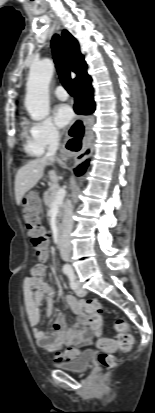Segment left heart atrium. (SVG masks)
<instances>
[{
	"mask_svg": "<svg viewBox=\"0 0 155 413\" xmlns=\"http://www.w3.org/2000/svg\"><path fill=\"white\" fill-rule=\"evenodd\" d=\"M73 118V112L68 105H60L55 111V122L59 127H65Z\"/></svg>",
	"mask_w": 155,
	"mask_h": 413,
	"instance_id": "39dd6f15",
	"label": "left heart atrium"
}]
</instances>
